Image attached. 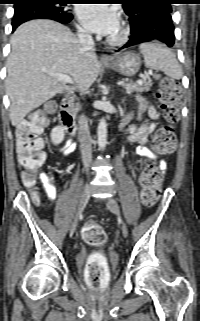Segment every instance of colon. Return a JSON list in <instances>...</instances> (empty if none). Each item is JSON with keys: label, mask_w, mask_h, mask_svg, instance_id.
<instances>
[{"label": "colon", "mask_w": 200, "mask_h": 321, "mask_svg": "<svg viewBox=\"0 0 200 321\" xmlns=\"http://www.w3.org/2000/svg\"><path fill=\"white\" fill-rule=\"evenodd\" d=\"M179 84L170 78H163L157 89L166 124L160 127L153 138V149L158 155H169L176 148L175 124L180 116ZM53 103H46L42 109L34 111L23 121L17 130L16 150L18 162L22 169V181L27 187L36 184V172L45 160L43 140L40 137L47 125L48 116L53 113ZM163 173L154 162H146L142 167L140 182L141 199L145 206L156 203L161 189ZM83 240L92 246H100L106 241L104 229L95 222H87L81 231ZM85 276L94 288H102L106 283L107 267L100 255L92 256L86 265Z\"/></svg>", "instance_id": "5ec220e1"}]
</instances>
